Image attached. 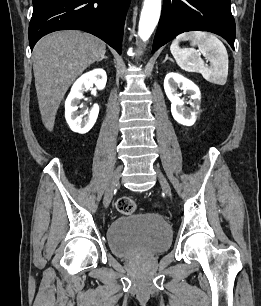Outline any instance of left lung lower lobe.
Returning a JSON list of instances; mask_svg holds the SVG:
<instances>
[{
  "mask_svg": "<svg viewBox=\"0 0 261 306\" xmlns=\"http://www.w3.org/2000/svg\"><path fill=\"white\" fill-rule=\"evenodd\" d=\"M193 30L218 34L234 49L236 28L230 0H163L152 52L180 33Z\"/></svg>",
  "mask_w": 261,
  "mask_h": 306,
  "instance_id": "0a47b994",
  "label": "left lung lower lobe"
}]
</instances>
